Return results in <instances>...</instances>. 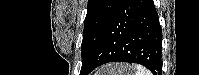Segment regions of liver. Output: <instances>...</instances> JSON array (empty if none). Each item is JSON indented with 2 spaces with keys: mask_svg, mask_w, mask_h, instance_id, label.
I'll return each instance as SVG.
<instances>
[{
  "mask_svg": "<svg viewBox=\"0 0 199 75\" xmlns=\"http://www.w3.org/2000/svg\"><path fill=\"white\" fill-rule=\"evenodd\" d=\"M114 71H115V69L112 68V69L110 70V73H114ZM101 73H105V72H101Z\"/></svg>",
  "mask_w": 199,
  "mask_h": 75,
  "instance_id": "6515ba94",
  "label": "liver"
}]
</instances>
